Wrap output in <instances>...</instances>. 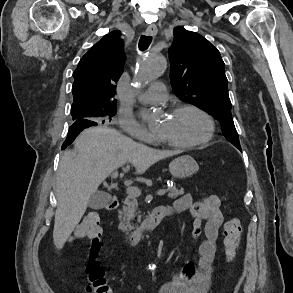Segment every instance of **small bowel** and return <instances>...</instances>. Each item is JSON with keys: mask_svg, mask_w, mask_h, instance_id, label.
<instances>
[{"mask_svg": "<svg viewBox=\"0 0 293 293\" xmlns=\"http://www.w3.org/2000/svg\"><path fill=\"white\" fill-rule=\"evenodd\" d=\"M178 213L189 211L193 222L192 238L201 235L197 261H188L182 270L165 283L160 293H209L214 276V262L217 252V238L224 224L220 210V199L216 195L204 194L198 202H193L190 193L178 198L172 205Z\"/></svg>", "mask_w": 293, "mask_h": 293, "instance_id": "c3829d8e", "label": "small bowel"}]
</instances>
